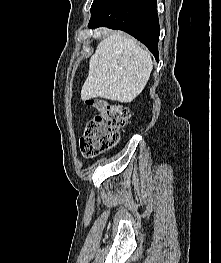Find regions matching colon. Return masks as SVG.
<instances>
[{"mask_svg":"<svg viewBox=\"0 0 221 263\" xmlns=\"http://www.w3.org/2000/svg\"><path fill=\"white\" fill-rule=\"evenodd\" d=\"M86 104L98 111L86 125L82 141L84 154L93 158L118 142L121 130L129 121L130 112L126 107L104 99H88Z\"/></svg>","mask_w":221,"mask_h":263,"instance_id":"5ec220e1","label":"colon"}]
</instances>
